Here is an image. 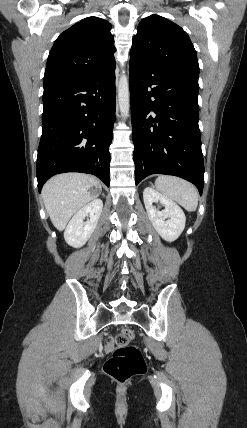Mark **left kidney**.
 I'll return each instance as SVG.
<instances>
[{
  "mask_svg": "<svg viewBox=\"0 0 247 428\" xmlns=\"http://www.w3.org/2000/svg\"><path fill=\"white\" fill-rule=\"evenodd\" d=\"M143 199L148 217L158 234L168 242L175 241L185 227L186 217L183 210L151 187L144 189ZM158 201L164 205V210L159 211L153 206V203Z\"/></svg>",
  "mask_w": 247,
  "mask_h": 428,
  "instance_id": "obj_1",
  "label": "left kidney"
}]
</instances>
